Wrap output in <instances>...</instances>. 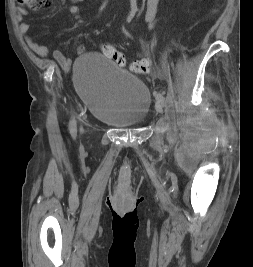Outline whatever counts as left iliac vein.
Returning <instances> with one entry per match:
<instances>
[{
  "label": "left iliac vein",
  "instance_id": "left-iliac-vein-1",
  "mask_svg": "<svg viewBox=\"0 0 253 267\" xmlns=\"http://www.w3.org/2000/svg\"><path fill=\"white\" fill-rule=\"evenodd\" d=\"M156 111L160 114L163 112V106L160 102H156Z\"/></svg>",
  "mask_w": 253,
  "mask_h": 267
}]
</instances>
